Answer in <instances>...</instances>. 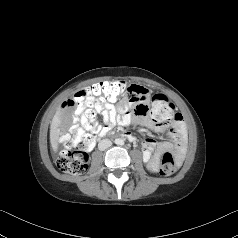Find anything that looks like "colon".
I'll list each match as a JSON object with an SVG mask.
<instances>
[{"instance_id": "1", "label": "colon", "mask_w": 238, "mask_h": 238, "mask_svg": "<svg viewBox=\"0 0 238 238\" xmlns=\"http://www.w3.org/2000/svg\"><path fill=\"white\" fill-rule=\"evenodd\" d=\"M129 89L122 81H103L78 91L71 102L73 105L87 104L85 108L87 115L94 117L96 103L114 102L126 96ZM151 110V117L157 122H169L176 114L173 103L163 94H156L153 97ZM86 130L87 133L76 135V142H66L65 150L56 160V165L62 172L74 175L86 172L88 168L87 150L93 141L91 133H93L94 126L90 124ZM176 166L174 156L167 152L162 156L159 172L163 176H169L176 171Z\"/></svg>"}]
</instances>
